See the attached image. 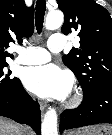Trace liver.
I'll return each mask as SVG.
<instances>
[{
	"instance_id": "obj_1",
	"label": "liver",
	"mask_w": 112,
	"mask_h": 135,
	"mask_svg": "<svg viewBox=\"0 0 112 135\" xmlns=\"http://www.w3.org/2000/svg\"><path fill=\"white\" fill-rule=\"evenodd\" d=\"M27 133L23 126L0 117V135H28Z\"/></svg>"
}]
</instances>
